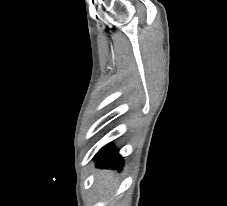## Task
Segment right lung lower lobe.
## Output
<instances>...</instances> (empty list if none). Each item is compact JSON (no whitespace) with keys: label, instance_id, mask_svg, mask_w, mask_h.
<instances>
[{"label":"right lung lower lobe","instance_id":"1","mask_svg":"<svg viewBox=\"0 0 227 206\" xmlns=\"http://www.w3.org/2000/svg\"><path fill=\"white\" fill-rule=\"evenodd\" d=\"M95 157L97 167L122 170L123 158L119 155L118 150L113 149L111 144L101 148Z\"/></svg>","mask_w":227,"mask_h":206}]
</instances>
